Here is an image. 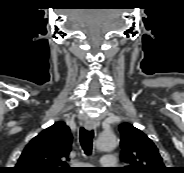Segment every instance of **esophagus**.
I'll return each mask as SVG.
<instances>
[{
	"instance_id": "obj_1",
	"label": "esophagus",
	"mask_w": 184,
	"mask_h": 173,
	"mask_svg": "<svg viewBox=\"0 0 184 173\" xmlns=\"http://www.w3.org/2000/svg\"><path fill=\"white\" fill-rule=\"evenodd\" d=\"M100 124V121L99 119H87L85 122H84V126L86 129H94L96 127H98Z\"/></svg>"
}]
</instances>
